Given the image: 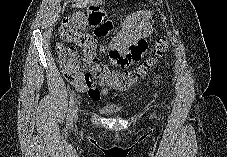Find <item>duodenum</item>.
Listing matches in <instances>:
<instances>
[{
    "label": "duodenum",
    "mask_w": 227,
    "mask_h": 157,
    "mask_svg": "<svg viewBox=\"0 0 227 157\" xmlns=\"http://www.w3.org/2000/svg\"><path fill=\"white\" fill-rule=\"evenodd\" d=\"M93 8L97 9L98 5L94 4ZM101 21H105V16H90L89 25H101ZM105 30H114V25H103V27H96V32H105Z\"/></svg>",
    "instance_id": "1"
}]
</instances>
